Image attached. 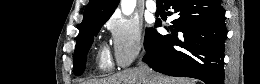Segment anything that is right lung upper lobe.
<instances>
[{"label":"right lung upper lobe","mask_w":260,"mask_h":84,"mask_svg":"<svg viewBox=\"0 0 260 84\" xmlns=\"http://www.w3.org/2000/svg\"><path fill=\"white\" fill-rule=\"evenodd\" d=\"M118 3L119 0H90L84 11V18L79 28V35L93 23L108 20Z\"/></svg>","instance_id":"1"}]
</instances>
